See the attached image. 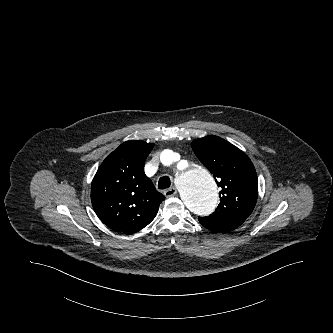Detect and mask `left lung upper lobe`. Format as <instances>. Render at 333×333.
Here are the masks:
<instances>
[{
    "instance_id": "1",
    "label": "left lung upper lobe",
    "mask_w": 333,
    "mask_h": 333,
    "mask_svg": "<svg viewBox=\"0 0 333 333\" xmlns=\"http://www.w3.org/2000/svg\"><path fill=\"white\" fill-rule=\"evenodd\" d=\"M192 149L214 175L220 203L214 213L199 217V222L215 232L239 227L252 213L258 197V179L249 157L218 136H206L192 142Z\"/></svg>"
}]
</instances>
